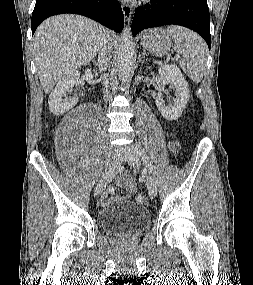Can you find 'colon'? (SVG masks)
Here are the masks:
<instances>
[{
	"mask_svg": "<svg viewBox=\"0 0 253 285\" xmlns=\"http://www.w3.org/2000/svg\"><path fill=\"white\" fill-rule=\"evenodd\" d=\"M136 201L139 204L144 205V204H146L148 202V198H147L146 194L140 193V194L137 195Z\"/></svg>",
	"mask_w": 253,
	"mask_h": 285,
	"instance_id": "obj_1",
	"label": "colon"
}]
</instances>
